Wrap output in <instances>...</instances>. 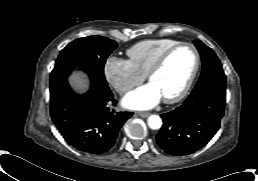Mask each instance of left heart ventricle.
Instances as JSON below:
<instances>
[{
  "mask_svg": "<svg viewBox=\"0 0 258 181\" xmlns=\"http://www.w3.org/2000/svg\"><path fill=\"white\" fill-rule=\"evenodd\" d=\"M195 64V54L190 47L184 46L175 51L163 68L152 78L162 98L177 95L188 81Z\"/></svg>",
  "mask_w": 258,
  "mask_h": 181,
  "instance_id": "b2bd125f",
  "label": "left heart ventricle"
}]
</instances>
